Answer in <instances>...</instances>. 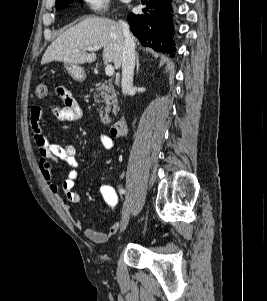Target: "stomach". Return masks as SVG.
Listing matches in <instances>:
<instances>
[{"mask_svg":"<svg viewBox=\"0 0 267 301\" xmlns=\"http://www.w3.org/2000/svg\"><path fill=\"white\" fill-rule=\"evenodd\" d=\"M64 67L75 81L83 82L86 79V73L79 65L65 63Z\"/></svg>","mask_w":267,"mask_h":301,"instance_id":"0dacf381","label":"stomach"}]
</instances>
